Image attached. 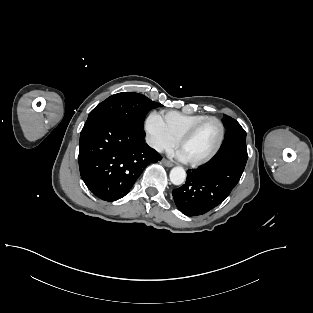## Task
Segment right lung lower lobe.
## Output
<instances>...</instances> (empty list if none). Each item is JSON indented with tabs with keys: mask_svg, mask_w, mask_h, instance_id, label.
Returning <instances> with one entry per match:
<instances>
[{
	"mask_svg": "<svg viewBox=\"0 0 313 313\" xmlns=\"http://www.w3.org/2000/svg\"><path fill=\"white\" fill-rule=\"evenodd\" d=\"M144 137V131L112 117L85 123L79 143V168L95 196L105 201L122 198L148 164L162 159Z\"/></svg>",
	"mask_w": 313,
	"mask_h": 313,
	"instance_id": "obj_1",
	"label": "right lung lower lobe"
}]
</instances>
